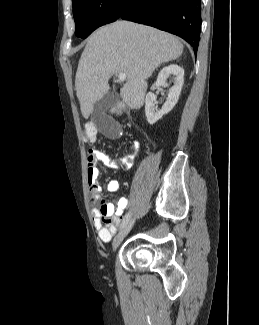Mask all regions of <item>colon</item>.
I'll return each mask as SVG.
<instances>
[{"label":"colon","instance_id":"obj_1","mask_svg":"<svg viewBox=\"0 0 259 325\" xmlns=\"http://www.w3.org/2000/svg\"><path fill=\"white\" fill-rule=\"evenodd\" d=\"M96 135V127L94 124L85 125L82 131V138L85 142H91L94 140Z\"/></svg>","mask_w":259,"mask_h":325}]
</instances>
